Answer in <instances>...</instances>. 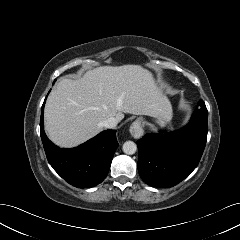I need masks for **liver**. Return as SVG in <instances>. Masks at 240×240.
I'll return each mask as SVG.
<instances>
[{
  "instance_id": "obj_1",
  "label": "liver",
  "mask_w": 240,
  "mask_h": 240,
  "mask_svg": "<svg viewBox=\"0 0 240 240\" xmlns=\"http://www.w3.org/2000/svg\"><path fill=\"white\" fill-rule=\"evenodd\" d=\"M171 104L153 74L139 65L103 66L77 80L64 78L47 98L44 121L50 140L74 147L102 131V122L124 113L156 116Z\"/></svg>"
}]
</instances>
